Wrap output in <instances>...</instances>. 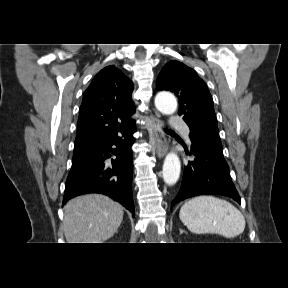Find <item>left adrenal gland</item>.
Here are the masks:
<instances>
[{
	"mask_svg": "<svg viewBox=\"0 0 288 288\" xmlns=\"http://www.w3.org/2000/svg\"><path fill=\"white\" fill-rule=\"evenodd\" d=\"M180 233H183V230L180 229Z\"/></svg>",
	"mask_w": 288,
	"mask_h": 288,
	"instance_id": "a2214340",
	"label": "left adrenal gland"
}]
</instances>
